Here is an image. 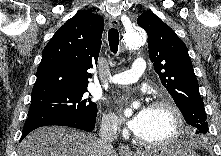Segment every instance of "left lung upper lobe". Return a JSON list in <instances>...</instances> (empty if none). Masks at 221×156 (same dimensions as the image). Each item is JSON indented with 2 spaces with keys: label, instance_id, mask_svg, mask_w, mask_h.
Listing matches in <instances>:
<instances>
[{
  "label": "left lung upper lobe",
  "instance_id": "left-lung-upper-lobe-1",
  "mask_svg": "<svg viewBox=\"0 0 221 156\" xmlns=\"http://www.w3.org/2000/svg\"><path fill=\"white\" fill-rule=\"evenodd\" d=\"M137 23L148 34L149 57L162 85L171 94L185 121L195 128L196 133H206V113L187 47L153 13L141 14Z\"/></svg>",
  "mask_w": 221,
  "mask_h": 156
}]
</instances>
